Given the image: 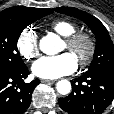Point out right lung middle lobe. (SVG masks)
<instances>
[{
    "label": "right lung middle lobe",
    "instance_id": "1",
    "mask_svg": "<svg viewBox=\"0 0 114 114\" xmlns=\"http://www.w3.org/2000/svg\"><path fill=\"white\" fill-rule=\"evenodd\" d=\"M50 13L53 10L42 9L20 16H0V73H10L25 66L17 49L18 38L26 26Z\"/></svg>",
    "mask_w": 114,
    "mask_h": 114
}]
</instances>
